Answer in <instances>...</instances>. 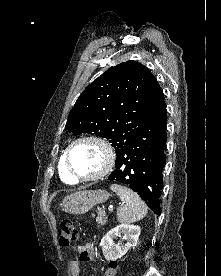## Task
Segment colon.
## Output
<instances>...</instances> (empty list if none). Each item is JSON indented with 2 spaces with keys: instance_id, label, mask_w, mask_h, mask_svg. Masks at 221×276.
Wrapping results in <instances>:
<instances>
[{
  "instance_id": "obj_1",
  "label": "colon",
  "mask_w": 221,
  "mask_h": 276,
  "mask_svg": "<svg viewBox=\"0 0 221 276\" xmlns=\"http://www.w3.org/2000/svg\"><path fill=\"white\" fill-rule=\"evenodd\" d=\"M77 230L70 220H63L59 225V243L61 246H71L77 240ZM118 270V262L111 261L108 265L105 276H115Z\"/></svg>"
}]
</instances>
